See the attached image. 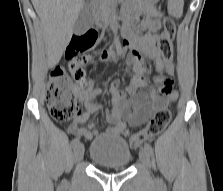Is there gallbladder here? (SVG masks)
Here are the masks:
<instances>
[{
	"mask_svg": "<svg viewBox=\"0 0 223 191\" xmlns=\"http://www.w3.org/2000/svg\"><path fill=\"white\" fill-rule=\"evenodd\" d=\"M91 11L87 6H84L78 14L76 22L74 24L73 31L75 34L85 33L91 26Z\"/></svg>",
	"mask_w": 223,
	"mask_h": 191,
	"instance_id": "gallbladder-1",
	"label": "gallbladder"
}]
</instances>
